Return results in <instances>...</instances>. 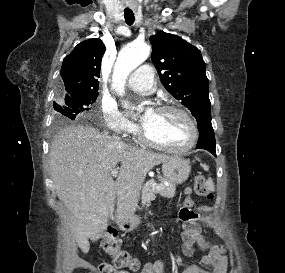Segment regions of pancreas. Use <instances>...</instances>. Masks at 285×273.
<instances>
[{"label":"pancreas","instance_id":"obj_1","mask_svg":"<svg viewBox=\"0 0 285 273\" xmlns=\"http://www.w3.org/2000/svg\"><path fill=\"white\" fill-rule=\"evenodd\" d=\"M156 185H160L162 187V190H157L156 188H154ZM175 192H176L175 184L173 183H169L168 185H164L162 183L157 184L155 180L151 179L144 185L142 189V195H141L142 204L145 205L153 201L155 199V194L157 193H159L163 197L170 198L175 195Z\"/></svg>","mask_w":285,"mask_h":273}]
</instances>
